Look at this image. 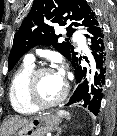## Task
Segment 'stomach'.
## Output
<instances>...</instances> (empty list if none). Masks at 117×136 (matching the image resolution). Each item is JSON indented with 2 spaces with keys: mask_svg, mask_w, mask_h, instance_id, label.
Here are the masks:
<instances>
[{
  "mask_svg": "<svg viewBox=\"0 0 117 136\" xmlns=\"http://www.w3.org/2000/svg\"><path fill=\"white\" fill-rule=\"evenodd\" d=\"M61 122L59 115L41 114L13 134V136H44L53 131Z\"/></svg>",
  "mask_w": 117,
  "mask_h": 136,
  "instance_id": "0dacf381",
  "label": "stomach"
}]
</instances>
